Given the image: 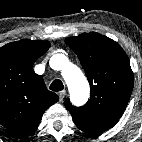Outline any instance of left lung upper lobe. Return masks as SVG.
I'll list each match as a JSON object with an SVG mask.
<instances>
[{"label":"left lung upper lobe","instance_id":"obj_1","mask_svg":"<svg viewBox=\"0 0 142 142\" xmlns=\"http://www.w3.org/2000/svg\"><path fill=\"white\" fill-rule=\"evenodd\" d=\"M66 44L77 54L91 86L83 107H65L76 126L89 135L100 134L121 118L133 89V73L125 51L112 39L96 32L69 37Z\"/></svg>","mask_w":142,"mask_h":142}]
</instances>
